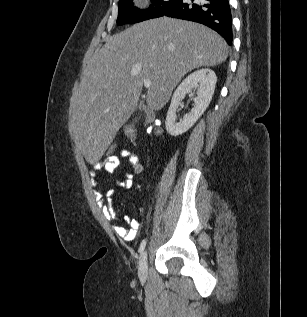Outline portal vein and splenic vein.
Wrapping results in <instances>:
<instances>
[{"instance_id":"18ae733b","label":"portal vein and splenic vein","mask_w":307,"mask_h":317,"mask_svg":"<svg viewBox=\"0 0 307 317\" xmlns=\"http://www.w3.org/2000/svg\"><path fill=\"white\" fill-rule=\"evenodd\" d=\"M144 86H145L146 88H150V86H151V81H150V80H144Z\"/></svg>"}]
</instances>
